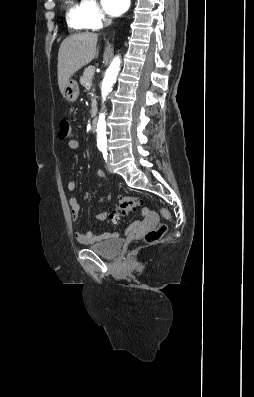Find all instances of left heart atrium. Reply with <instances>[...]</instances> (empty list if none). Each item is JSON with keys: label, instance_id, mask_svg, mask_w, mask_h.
<instances>
[{"label": "left heart atrium", "instance_id": "left-heart-atrium-1", "mask_svg": "<svg viewBox=\"0 0 254 397\" xmlns=\"http://www.w3.org/2000/svg\"><path fill=\"white\" fill-rule=\"evenodd\" d=\"M102 5L108 14L117 16L128 8L129 0H102Z\"/></svg>", "mask_w": 254, "mask_h": 397}]
</instances>
